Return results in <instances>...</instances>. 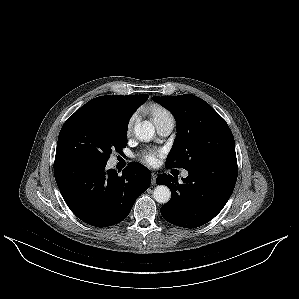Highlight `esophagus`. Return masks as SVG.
Masks as SVG:
<instances>
[{
    "mask_svg": "<svg viewBox=\"0 0 299 299\" xmlns=\"http://www.w3.org/2000/svg\"><path fill=\"white\" fill-rule=\"evenodd\" d=\"M151 176H152V185H155L156 184V178H157V174L152 172L151 173Z\"/></svg>",
    "mask_w": 299,
    "mask_h": 299,
    "instance_id": "1",
    "label": "esophagus"
}]
</instances>
